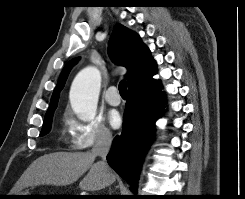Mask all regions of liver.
<instances>
[{
    "mask_svg": "<svg viewBox=\"0 0 245 199\" xmlns=\"http://www.w3.org/2000/svg\"><path fill=\"white\" fill-rule=\"evenodd\" d=\"M92 152H55L37 158L24 172L16 185V190L29 186L54 185L66 186L80 181L81 190L98 191L115 182V175L109 169L105 172L95 163Z\"/></svg>",
    "mask_w": 245,
    "mask_h": 199,
    "instance_id": "liver-1",
    "label": "liver"
}]
</instances>
